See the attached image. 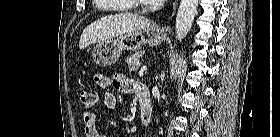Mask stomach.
<instances>
[{
    "instance_id": "1",
    "label": "stomach",
    "mask_w": 280,
    "mask_h": 137,
    "mask_svg": "<svg viewBox=\"0 0 280 137\" xmlns=\"http://www.w3.org/2000/svg\"><path fill=\"white\" fill-rule=\"evenodd\" d=\"M164 33L159 27L151 24L143 29L125 33L116 39L98 43L92 52L95 63L102 67L115 64L123 50L135 51L143 45L156 46L161 43Z\"/></svg>"
}]
</instances>
